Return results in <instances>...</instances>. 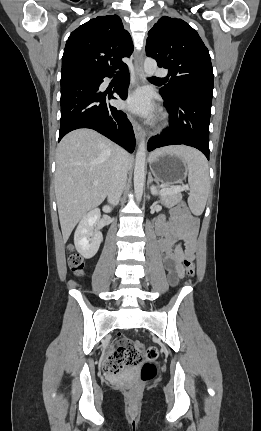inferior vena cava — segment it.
Wrapping results in <instances>:
<instances>
[{
  "label": "inferior vena cava",
  "instance_id": "obj_1",
  "mask_svg": "<svg viewBox=\"0 0 261 431\" xmlns=\"http://www.w3.org/2000/svg\"><path fill=\"white\" fill-rule=\"evenodd\" d=\"M126 151L120 149L115 159L113 174L108 192V202L112 205L119 203L127 180Z\"/></svg>",
  "mask_w": 261,
  "mask_h": 431
}]
</instances>
